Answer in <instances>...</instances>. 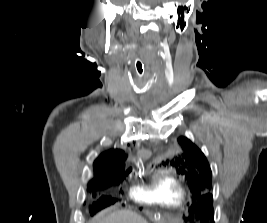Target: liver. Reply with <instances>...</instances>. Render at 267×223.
<instances>
[{
    "mask_svg": "<svg viewBox=\"0 0 267 223\" xmlns=\"http://www.w3.org/2000/svg\"><path fill=\"white\" fill-rule=\"evenodd\" d=\"M91 223H148L139 214L129 211L121 210L110 213L108 215H99Z\"/></svg>",
    "mask_w": 267,
    "mask_h": 223,
    "instance_id": "obj_1",
    "label": "liver"
}]
</instances>
